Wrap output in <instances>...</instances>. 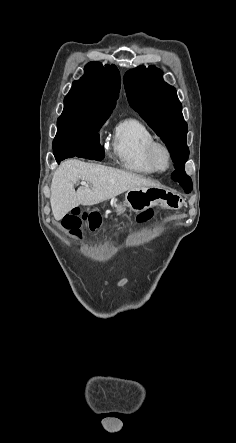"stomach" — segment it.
Instances as JSON below:
<instances>
[{
	"mask_svg": "<svg viewBox=\"0 0 236 443\" xmlns=\"http://www.w3.org/2000/svg\"><path fill=\"white\" fill-rule=\"evenodd\" d=\"M156 205L177 210L181 208L182 200L179 196L161 186L140 187L128 190L124 202L115 204L114 211L121 214L126 208H129L131 211L140 212Z\"/></svg>",
	"mask_w": 236,
	"mask_h": 443,
	"instance_id": "0dacf381",
	"label": "stomach"
}]
</instances>
